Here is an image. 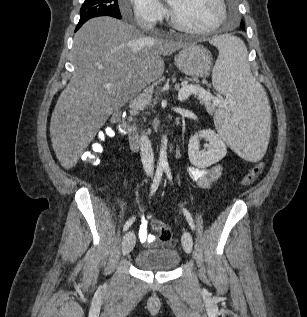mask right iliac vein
<instances>
[{
  "instance_id": "obj_1",
  "label": "right iliac vein",
  "mask_w": 307,
  "mask_h": 317,
  "mask_svg": "<svg viewBox=\"0 0 307 317\" xmlns=\"http://www.w3.org/2000/svg\"><path fill=\"white\" fill-rule=\"evenodd\" d=\"M135 245V234L131 231L127 232L122 240V253L127 255L131 252Z\"/></svg>"
}]
</instances>
